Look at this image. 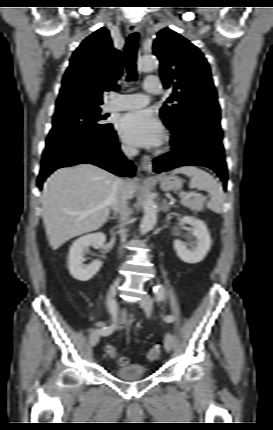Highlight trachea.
<instances>
[{"mask_svg":"<svg viewBox=\"0 0 273 430\" xmlns=\"http://www.w3.org/2000/svg\"><path fill=\"white\" fill-rule=\"evenodd\" d=\"M137 39L138 34L129 35L125 47V67L128 72L127 81L137 80L136 59H137Z\"/></svg>","mask_w":273,"mask_h":430,"instance_id":"1","label":"trachea"}]
</instances>
